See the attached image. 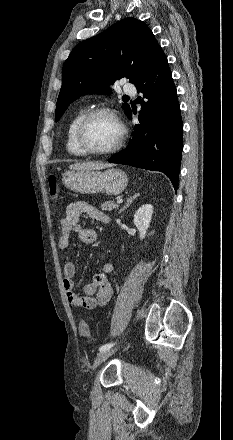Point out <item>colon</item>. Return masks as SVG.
Returning a JSON list of instances; mask_svg holds the SVG:
<instances>
[{
  "label": "colon",
  "mask_w": 233,
  "mask_h": 440,
  "mask_svg": "<svg viewBox=\"0 0 233 440\" xmlns=\"http://www.w3.org/2000/svg\"><path fill=\"white\" fill-rule=\"evenodd\" d=\"M48 187H49V196L53 201L58 200V186H57V177L52 174L48 179ZM80 335L86 339L92 340V334L90 330V326L86 321H82L79 327Z\"/></svg>",
  "instance_id": "obj_1"
}]
</instances>
